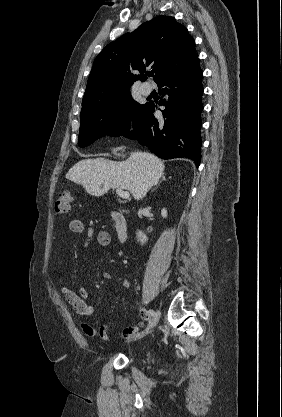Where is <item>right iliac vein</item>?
<instances>
[{
    "label": "right iliac vein",
    "mask_w": 282,
    "mask_h": 417,
    "mask_svg": "<svg viewBox=\"0 0 282 417\" xmlns=\"http://www.w3.org/2000/svg\"><path fill=\"white\" fill-rule=\"evenodd\" d=\"M159 318H160V312L157 310V312L154 314V316L150 320L149 325H148L146 331L145 332H142V333H139V334H136L134 336V338H141L144 334H147L153 327L156 326V324L159 321Z\"/></svg>",
    "instance_id": "1"
}]
</instances>
